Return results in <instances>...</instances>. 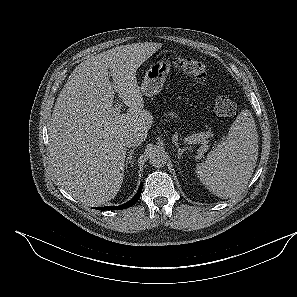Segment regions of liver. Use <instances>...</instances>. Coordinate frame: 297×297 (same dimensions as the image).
I'll list each match as a JSON object with an SVG mask.
<instances>
[{"mask_svg": "<svg viewBox=\"0 0 297 297\" xmlns=\"http://www.w3.org/2000/svg\"><path fill=\"white\" fill-rule=\"evenodd\" d=\"M161 47L134 43L91 56L73 70L56 100L48 127L51 164L60 185L84 205L100 206L117 195L125 137H147L153 117L144 109L136 71ZM115 93L127 113L114 112Z\"/></svg>", "mask_w": 297, "mask_h": 297, "instance_id": "1", "label": "liver"}]
</instances>
